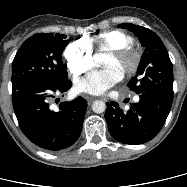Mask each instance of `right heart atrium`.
Segmentation results:
<instances>
[{"instance_id":"right-heart-atrium-1","label":"right heart atrium","mask_w":187,"mask_h":187,"mask_svg":"<svg viewBox=\"0 0 187 187\" xmlns=\"http://www.w3.org/2000/svg\"><path fill=\"white\" fill-rule=\"evenodd\" d=\"M64 60L73 75H80L92 65L93 49L87 40H77L65 49Z\"/></svg>"}]
</instances>
